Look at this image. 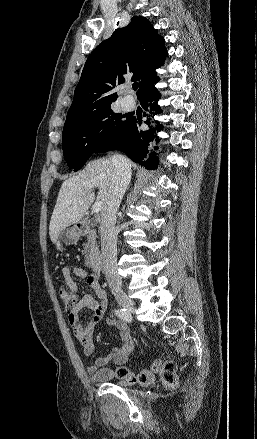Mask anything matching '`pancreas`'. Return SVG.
Segmentation results:
<instances>
[{"mask_svg": "<svg viewBox=\"0 0 257 439\" xmlns=\"http://www.w3.org/2000/svg\"><path fill=\"white\" fill-rule=\"evenodd\" d=\"M97 235L95 231L88 232L87 242L84 244L85 264L91 267L94 258L98 255Z\"/></svg>", "mask_w": 257, "mask_h": 439, "instance_id": "1", "label": "pancreas"}]
</instances>
